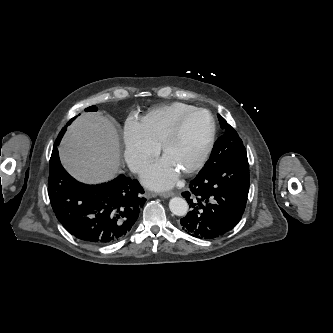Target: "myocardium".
Instances as JSON below:
<instances>
[{"label": "myocardium", "instance_id": "1", "mask_svg": "<svg viewBox=\"0 0 333 333\" xmlns=\"http://www.w3.org/2000/svg\"><path fill=\"white\" fill-rule=\"evenodd\" d=\"M199 112H204L209 116L210 130H209V134L207 136L206 142L204 144V147H203L199 157L197 158V160L191 166H189L188 168H186L182 172H180L182 175H185V176L190 175V174L196 172L197 170H199L200 168H202L203 165L206 163V161L212 151L214 141H215V136H216V121H215L213 114L208 109L201 108V107H195L194 109L185 112L175 122L173 127L170 129L168 134L163 139L161 146H160L161 152L164 156L166 151L168 150V148L179 138L186 120L193 114H196Z\"/></svg>", "mask_w": 333, "mask_h": 333}]
</instances>
